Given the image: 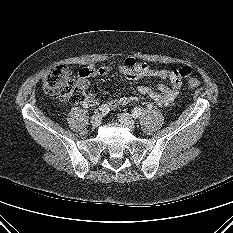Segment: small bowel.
Masks as SVG:
<instances>
[{"mask_svg": "<svg viewBox=\"0 0 233 233\" xmlns=\"http://www.w3.org/2000/svg\"><path fill=\"white\" fill-rule=\"evenodd\" d=\"M113 69L114 68L112 66H96L94 64H90L80 70L77 83L85 95L84 104L86 106L94 107L98 104V100L91 91L89 79L105 76ZM116 69L129 81H137L144 77H155L168 80L170 85L159 84L156 89L141 85L137 88L136 95L122 96L120 98L108 100L106 105L110 109L128 105L143 97H149L158 106L165 107L175 100L181 87L182 77L178 74V68L172 70L156 69L151 67L148 63L137 62L132 56H125L122 63L117 66Z\"/></svg>", "mask_w": 233, "mask_h": 233, "instance_id": "obj_1", "label": "small bowel"}]
</instances>
